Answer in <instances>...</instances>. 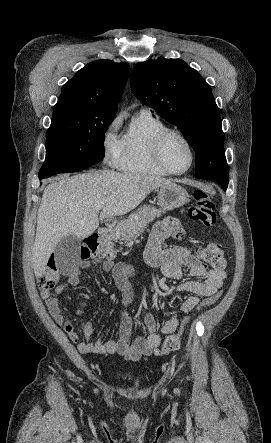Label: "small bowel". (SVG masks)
Instances as JSON below:
<instances>
[{"label":"small bowel","mask_w":271,"mask_h":443,"mask_svg":"<svg viewBox=\"0 0 271 443\" xmlns=\"http://www.w3.org/2000/svg\"><path fill=\"white\" fill-rule=\"evenodd\" d=\"M184 235V229L177 219L169 217L159 221L147 242L145 260L153 266H160L164 277L169 279H181L184 271H187L190 279L175 287L174 290L189 293L180 304V311L188 313L197 306L200 297L215 294L222 286L226 275L224 271L208 269L189 247L163 249L162 244L165 239L170 237L182 239ZM88 267L89 263L83 262L65 282L56 287L55 293L61 294L68 287H76L80 282L82 271ZM102 268L105 272L111 273L115 283L124 293L125 303H129L131 299L129 278L134 274L133 268L128 264L112 260H106ZM41 296L55 322L63 327L70 339L77 344L78 350L85 354H119L126 359L136 361L157 349L161 344L162 334H172L179 325L177 317H171L164 323L159 333L156 330V321L152 313L147 310L144 315L145 335H135L132 320L124 314L120 321L117 339L94 340L92 323L83 320L80 321V326L84 339H81L73 323L63 315L59 299L50 291H42ZM85 307L86 302L80 303L77 314L81 315Z\"/></svg>","instance_id":"1"}]
</instances>
